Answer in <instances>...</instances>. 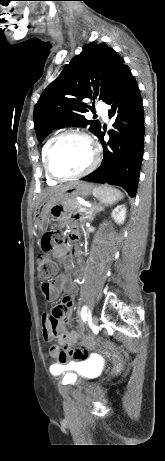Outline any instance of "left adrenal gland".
<instances>
[{
	"mask_svg": "<svg viewBox=\"0 0 165 461\" xmlns=\"http://www.w3.org/2000/svg\"><path fill=\"white\" fill-rule=\"evenodd\" d=\"M104 210V207L101 206V204H94L92 208H90V210L87 212V218H89V220H93L94 216L96 213L98 212H101Z\"/></svg>",
	"mask_w": 165,
	"mask_h": 461,
	"instance_id": "left-adrenal-gland-1",
	"label": "left adrenal gland"
}]
</instances>
